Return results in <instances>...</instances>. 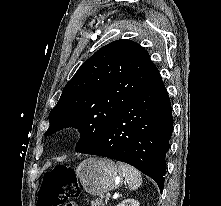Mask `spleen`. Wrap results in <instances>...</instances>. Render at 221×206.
Here are the masks:
<instances>
[{
  "label": "spleen",
  "mask_w": 221,
  "mask_h": 206,
  "mask_svg": "<svg viewBox=\"0 0 221 206\" xmlns=\"http://www.w3.org/2000/svg\"><path fill=\"white\" fill-rule=\"evenodd\" d=\"M117 166L123 173L124 182L128 185L130 190H136L142 184V176L141 173L136 170L134 167L124 164L117 163Z\"/></svg>",
  "instance_id": "spleen-1"
}]
</instances>
